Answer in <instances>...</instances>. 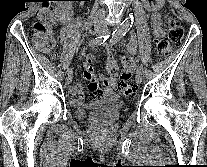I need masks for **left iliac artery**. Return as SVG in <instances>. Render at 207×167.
Masks as SVG:
<instances>
[{
    "label": "left iliac artery",
    "instance_id": "1",
    "mask_svg": "<svg viewBox=\"0 0 207 167\" xmlns=\"http://www.w3.org/2000/svg\"><path fill=\"white\" fill-rule=\"evenodd\" d=\"M126 32H127V29L126 30L116 29L111 37L110 43L112 45L116 44L118 41H120L123 38V36H125ZM137 72H140V73L143 72L142 65L138 67Z\"/></svg>",
    "mask_w": 207,
    "mask_h": 167
}]
</instances>
